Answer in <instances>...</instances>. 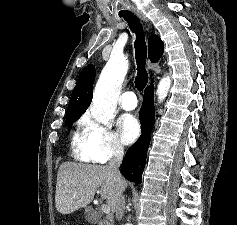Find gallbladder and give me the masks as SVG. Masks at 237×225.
<instances>
[{
  "instance_id": "bac80fb5",
  "label": "gallbladder",
  "mask_w": 237,
  "mask_h": 225,
  "mask_svg": "<svg viewBox=\"0 0 237 225\" xmlns=\"http://www.w3.org/2000/svg\"><path fill=\"white\" fill-rule=\"evenodd\" d=\"M93 222H97V219H94Z\"/></svg>"
}]
</instances>
